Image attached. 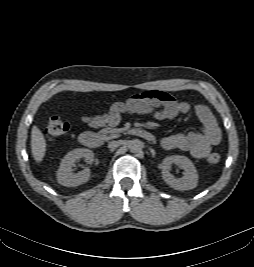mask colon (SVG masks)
I'll list each match as a JSON object with an SVG mask.
<instances>
[{
    "label": "colon",
    "mask_w": 254,
    "mask_h": 267,
    "mask_svg": "<svg viewBox=\"0 0 254 267\" xmlns=\"http://www.w3.org/2000/svg\"><path fill=\"white\" fill-rule=\"evenodd\" d=\"M70 129V124L61 116L54 115L49 119L48 125L45 129V135L49 139L58 138L66 134ZM221 158L218 153H211L207 157V162L211 165H217Z\"/></svg>",
    "instance_id": "obj_1"
}]
</instances>
